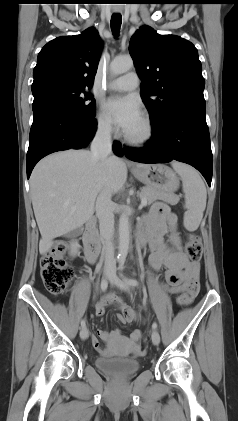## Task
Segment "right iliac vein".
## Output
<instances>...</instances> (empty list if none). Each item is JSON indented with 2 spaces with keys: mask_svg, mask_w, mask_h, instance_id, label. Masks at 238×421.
Wrapping results in <instances>:
<instances>
[{
  "mask_svg": "<svg viewBox=\"0 0 238 421\" xmlns=\"http://www.w3.org/2000/svg\"><path fill=\"white\" fill-rule=\"evenodd\" d=\"M107 274H108V269L106 268V269H104V275H107ZM88 336H89V331H88L87 327H83L80 331V337L83 340H86L88 338Z\"/></svg>",
  "mask_w": 238,
  "mask_h": 421,
  "instance_id": "1",
  "label": "right iliac vein"
}]
</instances>
